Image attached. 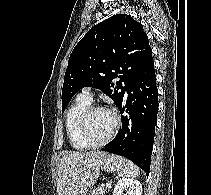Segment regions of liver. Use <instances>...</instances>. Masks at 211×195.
Here are the masks:
<instances>
[{"mask_svg":"<svg viewBox=\"0 0 211 195\" xmlns=\"http://www.w3.org/2000/svg\"><path fill=\"white\" fill-rule=\"evenodd\" d=\"M105 152H72L62 157L58 164V195H82L95 183L87 181L99 165Z\"/></svg>","mask_w":211,"mask_h":195,"instance_id":"obj_1","label":"liver"}]
</instances>
